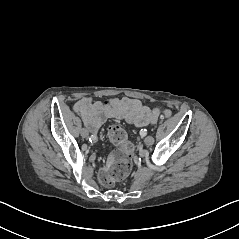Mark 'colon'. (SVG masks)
Instances as JSON below:
<instances>
[{"label":"colon","mask_w":239,"mask_h":239,"mask_svg":"<svg viewBox=\"0 0 239 239\" xmlns=\"http://www.w3.org/2000/svg\"><path fill=\"white\" fill-rule=\"evenodd\" d=\"M171 111L162 110V117H171ZM110 141L118 149L108 158L106 166L101 170L99 179L105 185H111L126 177L131 169L133 158V145L129 142L123 127L113 124L108 128Z\"/></svg>","instance_id":"1"}]
</instances>
